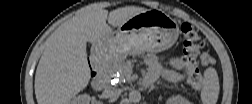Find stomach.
<instances>
[{"label":"stomach","mask_w":252,"mask_h":104,"mask_svg":"<svg viewBox=\"0 0 252 104\" xmlns=\"http://www.w3.org/2000/svg\"><path fill=\"white\" fill-rule=\"evenodd\" d=\"M178 34L175 19L162 10H147L96 42L95 50L112 62L119 61L128 55L164 51L175 43Z\"/></svg>","instance_id":"0dacf381"}]
</instances>
